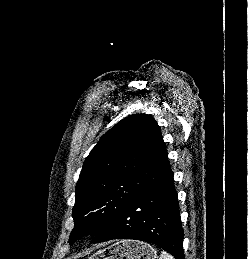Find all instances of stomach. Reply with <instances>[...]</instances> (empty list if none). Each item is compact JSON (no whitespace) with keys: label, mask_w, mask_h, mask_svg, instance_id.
Wrapping results in <instances>:
<instances>
[{"label":"stomach","mask_w":248,"mask_h":259,"mask_svg":"<svg viewBox=\"0 0 248 259\" xmlns=\"http://www.w3.org/2000/svg\"><path fill=\"white\" fill-rule=\"evenodd\" d=\"M88 259H157V252L147 243L121 240L98 250Z\"/></svg>","instance_id":"1"}]
</instances>
